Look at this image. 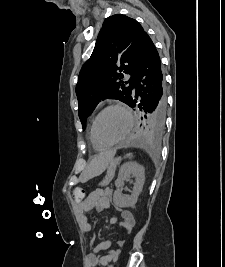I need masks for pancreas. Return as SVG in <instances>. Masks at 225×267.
Segmentation results:
<instances>
[{"mask_svg":"<svg viewBox=\"0 0 225 267\" xmlns=\"http://www.w3.org/2000/svg\"><path fill=\"white\" fill-rule=\"evenodd\" d=\"M117 160H112L108 166L107 169V174L105 176V178L103 179V181L99 184V186L103 187V186H107L112 179L114 178L115 175V170L117 167Z\"/></svg>","mask_w":225,"mask_h":267,"instance_id":"1","label":"pancreas"}]
</instances>
